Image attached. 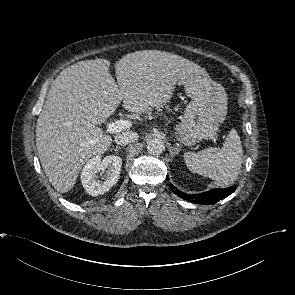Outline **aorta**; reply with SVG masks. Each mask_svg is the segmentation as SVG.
Wrapping results in <instances>:
<instances>
[{
	"instance_id": "1",
	"label": "aorta",
	"mask_w": 295,
	"mask_h": 295,
	"mask_svg": "<svg viewBox=\"0 0 295 295\" xmlns=\"http://www.w3.org/2000/svg\"><path fill=\"white\" fill-rule=\"evenodd\" d=\"M147 150L151 155H159L165 150V144L162 139L154 138L147 143Z\"/></svg>"
}]
</instances>
